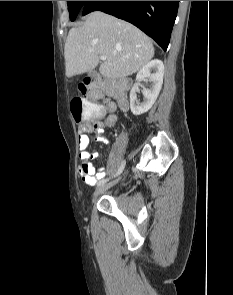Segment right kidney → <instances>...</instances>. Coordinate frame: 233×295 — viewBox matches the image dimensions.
I'll list each match as a JSON object with an SVG mask.
<instances>
[{"mask_svg": "<svg viewBox=\"0 0 233 295\" xmlns=\"http://www.w3.org/2000/svg\"><path fill=\"white\" fill-rule=\"evenodd\" d=\"M163 76L164 64L158 59L148 62L138 72L136 80L141 81L144 78H149L151 86L150 89H144L142 91L143 101L139 102L137 100V92L139 91L138 83L133 85L130 91V108L134 115H141L152 107L162 88Z\"/></svg>", "mask_w": 233, "mask_h": 295, "instance_id": "ca27d5eb", "label": "right kidney"}]
</instances>
